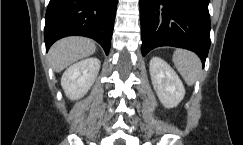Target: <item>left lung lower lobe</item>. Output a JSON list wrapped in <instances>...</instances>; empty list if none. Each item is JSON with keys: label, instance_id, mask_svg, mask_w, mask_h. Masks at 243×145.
<instances>
[{"label": "left lung lower lobe", "instance_id": "1", "mask_svg": "<svg viewBox=\"0 0 243 145\" xmlns=\"http://www.w3.org/2000/svg\"><path fill=\"white\" fill-rule=\"evenodd\" d=\"M209 0H140L142 55L159 46L194 51L205 64L210 48Z\"/></svg>", "mask_w": 243, "mask_h": 145}]
</instances>
